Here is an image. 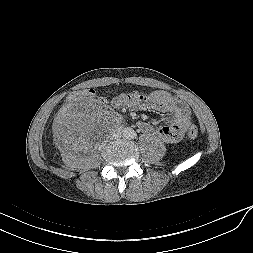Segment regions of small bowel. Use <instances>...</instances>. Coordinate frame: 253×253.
Wrapping results in <instances>:
<instances>
[{
	"mask_svg": "<svg viewBox=\"0 0 253 253\" xmlns=\"http://www.w3.org/2000/svg\"><path fill=\"white\" fill-rule=\"evenodd\" d=\"M113 104L118 108L149 109L171 116L170 122L157 129L146 122L139 124L141 131L154 133L167 143L180 141L191 124V111L187 104L167 91L158 90L148 94L139 91L122 93L114 99Z\"/></svg>",
	"mask_w": 253,
	"mask_h": 253,
	"instance_id": "small-bowel-1",
	"label": "small bowel"
}]
</instances>
